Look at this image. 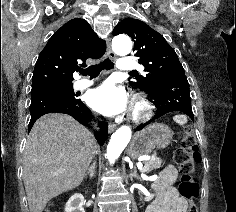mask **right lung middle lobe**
Listing matches in <instances>:
<instances>
[{
  "instance_id": "right-lung-middle-lobe-1",
  "label": "right lung middle lobe",
  "mask_w": 236,
  "mask_h": 212,
  "mask_svg": "<svg viewBox=\"0 0 236 212\" xmlns=\"http://www.w3.org/2000/svg\"><path fill=\"white\" fill-rule=\"evenodd\" d=\"M48 93L54 94L70 102H79L73 91V85L68 86H56L42 89Z\"/></svg>"
}]
</instances>
